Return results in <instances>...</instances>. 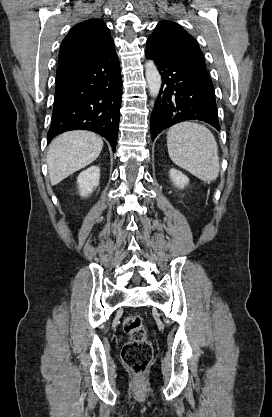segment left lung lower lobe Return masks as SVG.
<instances>
[{"mask_svg": "<svg viewBox=\"0 0 272 417\" xmlns=\"http://www.w3.org/2000/svg\"><path fill=\"white\" fill-rule=\"evenodd\" d=\"M145 55L155 61L163 80L150 119L152 140L162 130L188 120L204 121L219 130L214 87L205 65L147 49Z\"/></svg>", "mask_w": 272, "mask_h": 417, "instance_id": "left-lung-lower-lobe-1", "label": "left lung lower lobe"}]
</instances>
